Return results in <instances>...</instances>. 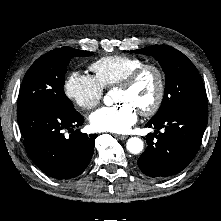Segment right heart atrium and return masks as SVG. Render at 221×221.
<instances>
[{
	"instance_id": "1",
	"label": "right heart atrium",
	"mask_w": 221,
	"mask_h": 221,
	"mask_svg": "<svg viewBox=\"0 0 221 221\" xmlns=\"http://www.w3.org/2000/svg\"><path fill=\"white\" fill-rule=\"evenodd\" d=\"M64 91L69 99L83 110L96 107L103 98L104 88L94 76L71 72L64 82Z\"/></svg>"
}]
</instances>
